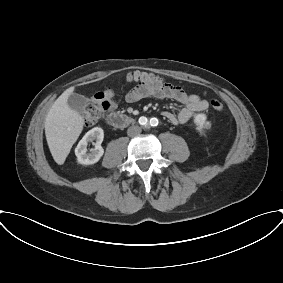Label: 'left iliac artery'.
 Segmentation results:
<instances>
[{
    "instance_id": "left-iliac-artery-1",
    "label": "left iliac artery",
    "mask_w": 283,
    "mask_h": 283,
    "mask_svg": "<svg viewBox=\"0 0 283 283\" xmlns=\"http://www.w3.org/2000/svg\"><path fill=\"white\" fill-rule=\"evenodd\" d=\"M158 124V120L156 118H151L150 119V125L151 126H156Z\"/></svg>"
}]
</instances>
